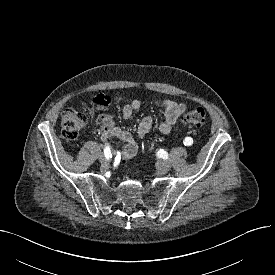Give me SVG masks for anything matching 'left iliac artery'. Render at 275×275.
<instances>
[{"instance_id": "44dca946", "label": "left iliac artery", "mask_w": 275, "mask_h": 275, "mask_svg": "<svg viewBox=\"0 0 275 275\" xmlns=\"http://www.w3.org/2000/svg\"><path fill=\"white\" fill-rule=\"evenodd\" d=\"M183 143L185 146H191L193 144V139L191 137H186Z\"/></svg>"}]
</instances>
